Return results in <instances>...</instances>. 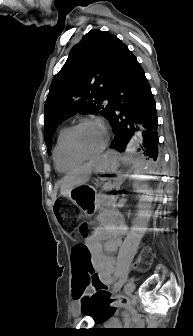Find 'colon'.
I'll use <instances>...</instances> for the list:
<instances>
[{"label":"colon","mask_w":193,"mask_h":336,"mask_svg":"<svg viewBox=\"0 0 193 336\" xmlns=\"http://www.w3.org/2000/svg\"><path fill=\"white\" fill-rule=\"evenodd\" d=\"M58 218L61 224L67 231L78 229L82 237H87L91 233V227L85 222H81L80 214L76 211L74 205L65 198L58 199L55 203ZM151 262V251L146 250L138 260V266L146 268ZM72 265L76 274L74 284V297L81 301L83 310H87L89 305L96 299L98 295L107 298V293L104 289H94L92 294H85V288L91 283L92 265L89 258V252L85 245H77L72 251ZM102 284L100 279L94 281V285L99 286ZM122 303H127L124 297L118 298ZM111 308L110 314L113 312Z\"/></svg>","instance_id":"1"}]
</instances>
